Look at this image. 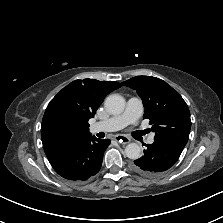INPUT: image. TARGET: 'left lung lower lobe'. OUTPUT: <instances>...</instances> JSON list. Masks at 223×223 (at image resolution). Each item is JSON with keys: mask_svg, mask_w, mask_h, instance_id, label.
<instances>
[{"mask_svg": "<svg viewBox=\"0 0 223 223\" xmlns=\"http://www.w3.org/2000/svg\"><path fill=\"white\" fill-rule=\"evenodd\" d=\"M153 144L146 145L144 155L135 160L132 169L145 177L156 176L171 168L180 157L185 146L166 139H154Z\"/></svg>", "mask_w": 223, "mask_h": 223, "instance_id": "1", "label": "left lung lower lobe"}]
</instances>
